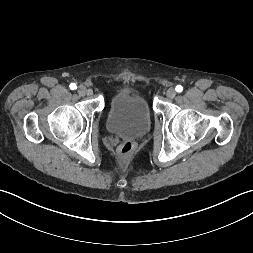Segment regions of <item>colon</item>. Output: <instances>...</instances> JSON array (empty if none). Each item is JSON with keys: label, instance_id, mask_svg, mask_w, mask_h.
<instances>
[{"label": "colon", "instance_id": "5ec220e1", "mask_svg": "<svg viewBox=\"0 0 253 253\" xmlns=\"http://www.w3.org/2000/svg\"><path fill=\"white\" fill-rule=\"evenodd\" d=\"M134 149L135 143L133 141L128 140L123 142L118 149L119 158L122 161H127L131 157Z\"/></svg>", "mask_w": 253, "mask_h": 253}]
</instances>
